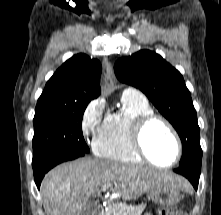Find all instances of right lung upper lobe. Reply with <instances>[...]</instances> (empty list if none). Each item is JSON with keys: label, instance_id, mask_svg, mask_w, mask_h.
<instances>
[{"label": "right lung upper lobe", "instance_id": "right-lung-upper-lobe-1", "mask_svg": "<svg viewBox=\"0 0 221 215\" xmlns=\"http://www.w3.org/2000/svg\"><path fill=\"white\" fill-rule=\"evenodd\" d=\"M102 67L97 59L77 54L67 60L49 79L37 104L89 103L100 95Z\"/></svg>", "mask_w": 221, "mask_h": 215}]
</instances>
